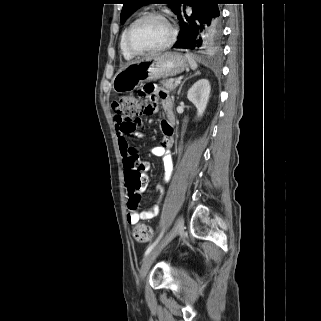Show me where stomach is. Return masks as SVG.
Instances as JSON below:
<instances>
[{
  "label": "stomach",
  "mask_w": 321,
  "mask_h": 321,
  "mask_svg": "<svg viewBox=\"0 0 321 321\" xmlns=\"http://www.w3.org/2000/svg\"><path fill=\"white\" fill-rule=\"evenodd\" d=\"M187 68V59L177 52L146 57L121 68L112 80V88L116 93L130 92L141 82L173 77Z\"/></svg>",
  "instance_id": "1"
}]
</instances>
